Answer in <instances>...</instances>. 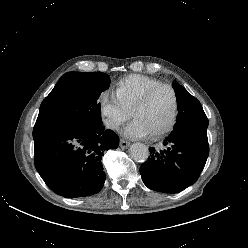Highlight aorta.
Returning <instances> with one entry per match:
<instances>
[{
	"label": "aorta",
	"mask_w": 248,
	"mask_h": 248,
	"mask_svg": "<svg viewBox=\"0 0 248 248\" xmlns=\"http://www.w3.org/2000/svg\"><path fill=\"white\" fill-rule=\"evenodd\" d=\"M130 155L136 162H145L149 157L148 147L143 143H134L130 147Z\"/></svg>",
	"instance_id": "1"
}]
</instances>
